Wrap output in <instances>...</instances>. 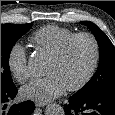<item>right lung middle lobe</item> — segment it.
I'll use <instances>...</instances> for the list:
<instances>
[{"label":"right lung middle lobe","mask_w":115,"mask_h":115,"mask_svg":"<svg viewBox=\"0 0 115 115\" xmlns=\"http://www.w3.org/2000/svg\"><path fill=\"white\" fill-rule=\"evenodd\" d=\"M33 23L17 25H1V88L13 86V81L9 68V56L15 42L24 35Z\"/></svg>","instance_id":"obj_1"}]
</instances>
